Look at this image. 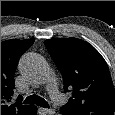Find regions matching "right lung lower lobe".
Wrapping results in <instances>:
<instances>
[{
    "label": "right lung lower lobe",
    "mask_w": 115,
    "mask_h": 115,
    "mask_svg": "<svg viewBox=\"0 0 115 115\" xmlns=\"http://www.w3.org/2000/svg\"><path fill=\"white\" fill-rule=\"evenodd\" d=\"M31 113H32L31 115H36V113H37V108L35 107V109H34Z\"/></svg>",
    "instance_id": "obj_1"
}]
</instances>
